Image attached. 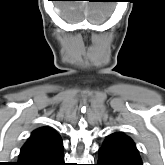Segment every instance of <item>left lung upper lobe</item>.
<instances>
[{
	"label": "left lung upper lobe",
	"mask_w": 165,
	"mask_h": 165,
	"mask_svg": "<svg viewBox=\"0 0 165 165\" xmlns=\"http://www.w3.org/2000/svg\"><path fill=\"white\" fill-rule=\"evenodd\" d=\"M100 149L122 165H142L134 142L121 132L110 134Z\"/></svg>",
	"instance_id": "left-lung-upper-lobe-1"
}]
</instances>
